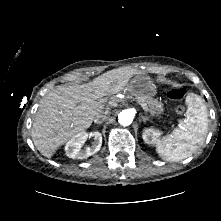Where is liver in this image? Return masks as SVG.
<instances>
[{
	"label": "liver",
	"mask_w": 221,
	"mask_h": 221,
	"mask_svg": "<svg viewBox=\"0 0 221 221\" xmlns=\"http://www.w3.org/2000/svg\"><path fill=\"white\" fill-rule=\"evenodd\" d=\"M133 72L110 70L92 82L58 86L41 100L31 136L37 150L51 158L55 151L78 133L88 129L97 113L104 111L102 97L120 92Z\"/></svg>",
	"instance_id": "liver-1"
}]
</instances>
